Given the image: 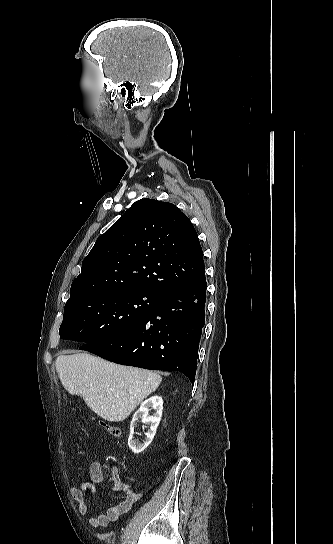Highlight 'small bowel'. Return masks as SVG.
Segmentation results:
<instances>
[{
  "label": "small bowel",
  "mask_w": 333,
  "mask_h": 544,
  "mask_svg": "<svg viewBox=\"0 0 333 544\" xmlns=\"http://www.w3.org/2000/svg\"><path fill=\"white\" fill-rule=\"evenodd\" d=\"M89 474L92 483H83L78 487H70V493L77 502L81 515H86L88 512V505L85 501L86 492L91 491L92 493H96L95 484L100 483L103 479V468L99 461H93L90 464ZM111 479L113 483L112 490L114 492H121L124 495V499L103 512L94 513L89 518V523L94 527L106 528L110 522L118 521L122 515L129 513L134 504L141 498L140 493L135 492L129 484L123 483L117 469L112 470Z\"/></svg>",
  "instance_id": "small-bowel-1"
}]
</instances>
